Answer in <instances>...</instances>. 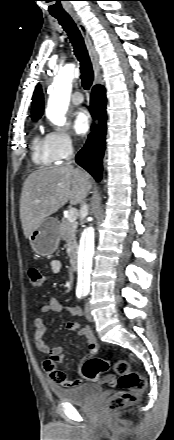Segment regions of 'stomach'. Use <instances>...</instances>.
<instances>
[{
  "label": "stomach",
  "mask_w": 174,
  "mask_h": 440,
  "mask_svg": "<svg viewBox=\"0 0 174 440\" xmlns=\"http://www.w3.org/2000/svg\"><path fill=\"white\" fill-rule=\"evenodd\" d=\"M60 224L54 217H46L29 237L33 251L41 256L51 255L56 251L60 241Z\"/></svg>",
  "instance_id": "obj_1"
}]
</instances>
